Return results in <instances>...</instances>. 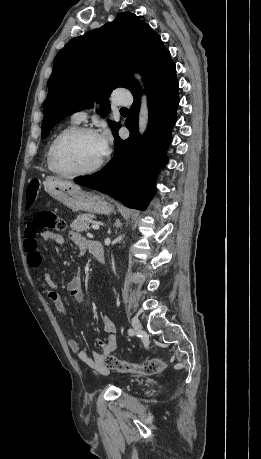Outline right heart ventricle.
<instances>
[{
	"mask_svg": "<svg viewBox=\"0 0 261 459\" xmlns=\"http://www.w3.org/2000/svg\"><path fill=\"white\" fill-rule=\"evenodd\" d=\"M77 124V122L75 121H70L69 124H67L65 127L61 128L59 131H57L54 136L51 138L48 146H47V149H46V153H45V162H46V165H47V168L51 171V172H54L53 169L51 168V165H50V150H51V147H52V144L53 142L55 141V139L61 134L63 133L64 131L66 130H69L73 127H75V125Z\"/></svg>",
	"mask_w": 261,
	"mask_h": 459,
	"instance_id": "right-heart-ventricle-1",
	"label": "right heart ventricle"
}]
</instances>
